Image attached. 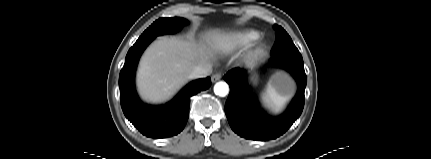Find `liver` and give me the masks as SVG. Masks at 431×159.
Returning a JSON list of instances; mask_svg holds the SVG:
<instances>
[{
    "label": "liver",
    "instance_id": "1",
    "mask_svg": "<svg viewBox=\"0 0 431 159\" xmlns=\"http://www.w3.org/2000/svg\"><path fill=\"white\" fill-rule=\"evenodd\" d=\"M204 40L197 43L161 37L154 41L142 56L137 73L142 99L152 103L168 100L187 83L196 66L209 64L212 50L223 48L226 36L214 30L206 33Z\"/></svg>",
    "mask_w": 431,
    "mask_h": 159
}]
</instances>
